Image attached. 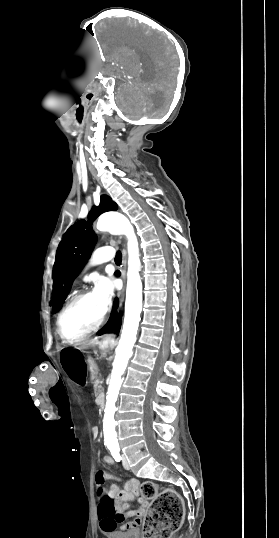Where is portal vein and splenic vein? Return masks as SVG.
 <instances>
[{"instance_id":"obj_1","label":"portal vein and splenic vein","mask_w":279,"mask_h":538,"mask_svg":"<svg viewBox=\"0 0 279 538\" xmlns=\"http://www.w3.org/2000/svg\"><path fill=\"white\" fill-rule=\"evenodd\" d=\"M100 383H103V380H100Z\"/></svg>"}]
</instances>
